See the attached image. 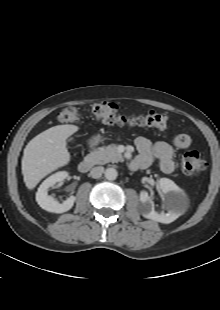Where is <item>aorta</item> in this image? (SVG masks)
<instances>
[{"mask_svg": "<svg viewBox=\"0 0 220 310\" xmlns=\"http://www.w3.org/2000/svg\"><path fill=\"white\" fill-rule=\"evenodd\" d=\"M118 176V172L115 168H107L105 171V177L107 180H115Z\"/></svg>", "mask_w": 220, "mask_h": 310, "instance_id": "obj_1", "label": "aorta"}]
</instances>
